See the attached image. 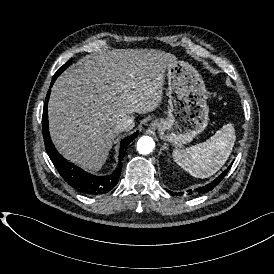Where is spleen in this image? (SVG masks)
<instances>
[{"label": "spleen", "mask_w": 274, "mask_h": 274, "mask_svg": "<svg viewBox=\"0 0 274 274\" xmlns=\"http://www.w3.org/2000/svg\"><path fill=\"white\" fill-rule=\"evenodd\" d=\"M235 140V129L231 123H228L203 143L187 149H174L173 158L192 176L207 178L225 164Z\"/></svg>", "instance_id": "1"}]
</instances>
